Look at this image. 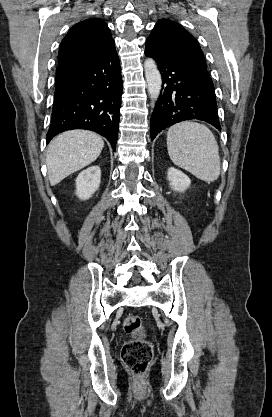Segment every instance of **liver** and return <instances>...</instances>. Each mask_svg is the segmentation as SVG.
Wrapping results in <instances>:
<instances>
[{
	"label": "liver",
	"instance_id": "1",
	"mask_svg": "<svg viewBox=\"0 0 272 417\" xmlns=\"http://www.w3.org/2000/svg\"><path fill=\"white\" fill-rule=\"evenodd\" d=\"M103 147L102 138L92 131L73 130L55 137L46 155L51 186L90 165L98 158Z\"/></svg>",
	"mask_w": 272,
	"mask_h": 417
}]
</instances>
